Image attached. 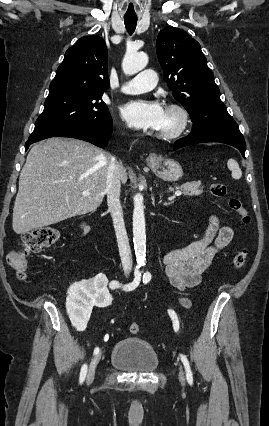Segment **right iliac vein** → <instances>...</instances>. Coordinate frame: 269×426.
Wrapping results in <instances>:
<instances>
[{
    "label": "right iliac vein",
    "instance_id": "obj_1",
    "mask_svg": "<svg viewBox=\"0 0 269 426\" xmlns=\"http://www.w3.org/2000/svg\"><path fill=\"white\" fill-rule=\"evenodd\" d=\"M101 359V352L97 353L94 358L91 360L90 365H89V369H88V374H87V385H90L95 377V370L96 367L99 363Z\"/></svg>",
    "mask_w": 269,
    "mask_h": 426
}]
</instances>
